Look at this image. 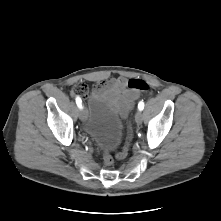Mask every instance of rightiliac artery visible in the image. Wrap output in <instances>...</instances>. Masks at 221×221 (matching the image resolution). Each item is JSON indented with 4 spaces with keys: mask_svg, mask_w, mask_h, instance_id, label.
<instances>
[{
    "mask_svg": "<svg viewBox=\"0 0 221 221\" xmlns=\"http://www.w3.org/2000/svg\"><path fill=\"white\" fill-rule=\"evenodd\" d=\"M76 104L79 108H82V101L79 97L76 98Z\"/></svg>",
    "mask_w": 221,
    "mask_h": 221,
    "instance_id": "obj_1",
    "label": "right iliac artery"
}]
</instances>
